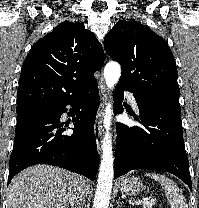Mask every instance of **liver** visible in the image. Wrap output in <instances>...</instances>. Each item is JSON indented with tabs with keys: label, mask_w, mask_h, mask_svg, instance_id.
<instances>
[{
	"label": "liver",
	"mask_w": 199,
	"mask_h": 208,
	"mask_svg": "<svg viewBox=\"0 0 199 208\" xmlns=\"http://www.w3.org/2000/svg\"><path fill=\"white\" fill-rule=\"evenodd\" d=\"M77 186L84 195L90 181L78 174L50 165H34L16 175L8 188V208H69Z\"/></svg>",
	"instance_id": "liver-1"
}]
</instances>
